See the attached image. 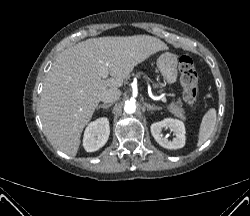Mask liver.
Instances as JSON below:
<instances>
[{"instance_id": "obj_1", "label": "liver", "mask_w": 250, "mask_h": 216, "mask_svg": "<svg viewBox=\"0 0 250 216\" xmlns=\"http://www.w3.org/2000/svg\"><path fill=\"white\" fill-rule=\"evenodd\" d=\"M167 45L156 37L91 38L66 48L48 72L39 114L50 141L75 156L84 127L109 88H119L134 67ZM108 65L111 78L101 76Z\"/></svg>"}]
</instances>
